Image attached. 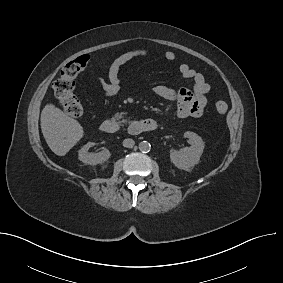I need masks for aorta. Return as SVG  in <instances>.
I'll use <instances>...</instances> for the list:
<instances>
[{
    "instance_id": "aorta-1",
    "label": "aorta",
    "mask_w": 283,
    "mask_h": 283,
    "mask_svg": "<svg viewBox=\"0 0 283 283\" xmlns=\"http://www.w3.org/2000/svg\"><path fill=\"white\" fill-rule=\"evenodd\" d=\"M150 149H151V145H150L149 142H147V141H141V142L139 143V150H140L141 152L146 153V152H149Z\"/></svg>"
}]
</instances>
